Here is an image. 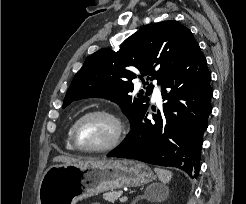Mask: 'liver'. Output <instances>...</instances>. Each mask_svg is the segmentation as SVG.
<instances>
[{
  "label": "liver",
  "mask_w": 246,
  "mask_h": 204,
  "mask_svg": "<svg viewBox=\"0 0 246 204\" xmlns=\"http://www.w3.org/2000/svg\"><path fill=\"white\" fill-rule=\"evenodd\" d=\"M83 160L81 159H76L70 156H65V155H59L53 158V162H62L65 164H72V163H77V162H81ZM86 161V160H84Z\"/></svg>",
  "instance_id": "1"
}]
</instances>
